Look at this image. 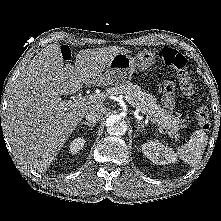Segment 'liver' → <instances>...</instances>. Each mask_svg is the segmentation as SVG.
<instances>
[{
    "mask_svg": "<svg viewBox=\"0 0 221 221\" xmlns=\"http://www.w3.org/2000/svg\"><path fill=\"white\" fill-rule=\"evenodd\" d=\"M122 47L84 49L75 67L64 64L61 48L53 43L21 70L6 109L3 128L16 158L31 169L44 172L55 159L89 108L102 101L74 105L61 95H73L83 86H104L102 72Z\"/></svg>",
    "mask_w": 221,
    "mask_h": 221,
    "instance_id": "liver-1",
    "label": "liver"
}]
</instances>
